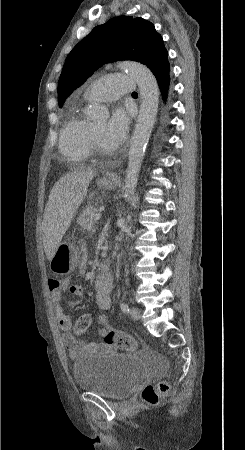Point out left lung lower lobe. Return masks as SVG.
Segmentation results:
<instances>
[{"label": "left lung lower lobe", "instance_id": "1", "mask_svg": "<svg viewBox=\"0 0 245 450\" xmlns=\"http://www.w3.org/2000/svg\"><path fill=\"white\" fill-rule=\"evenodd\" d=\"M158 84L160 86L163 98H166V94L169 87L170 77H169V62L166 61L161 64L157 69L153 71Z\"/></svg>", "mask_w": 245, "mask_h": 450}]
</instances>
